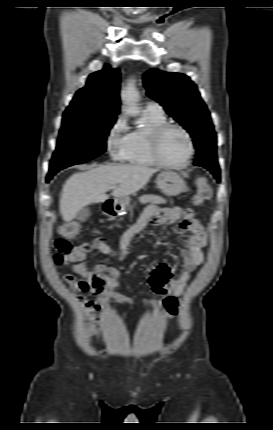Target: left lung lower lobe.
Returning <instances> with one entry per match:
<instances>
[{
  "mask_svg": "<svg viewBox=\"0 0 273 430\" xmlns=\"http://www.w3.org/2000/svg\"><path fill=\"white\" fill-rule=\"evenodd\" d=\"M194 164L208 169L215 176L217 181H220V169L215 154L201 156L195 160Z\"/></svg>",
  "mask_w": 273,
  "mask_h": 430,
  "instance_id": "obj_1",
  "label": "left lung lower lobe"
}]
</instances>
